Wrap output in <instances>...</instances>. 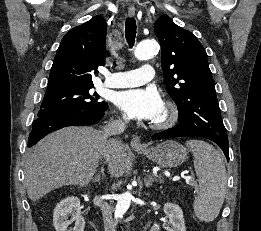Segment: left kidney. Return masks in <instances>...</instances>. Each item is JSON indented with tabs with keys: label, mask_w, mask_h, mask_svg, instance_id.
I'll return each mask as SVG.
<instances>
[{
	"label": "left kidney",
	"mask_w": 261,
	"mask_h": 231,
	"mask_svg": "<svg viewBox=\"0 0 261 231\" xmlns=\"http://www.w3.org/2000/svg\"><path fill=\"white\" fill-rule=\"evenodd\" d=\"M164 213L169 218L168 225H163L167 231H186L183 211L178 205L166 203ZM150 231H159V226H153Z\"/></svg>",
	"instance_id": "1"
}]
</instances>
